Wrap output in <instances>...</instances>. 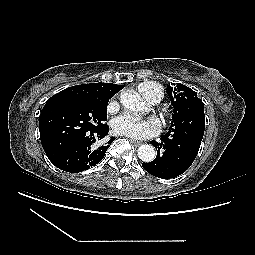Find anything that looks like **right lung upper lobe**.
<instances>
[{
	"mask_svg": "<svg viewBox=\"0 0 255 255\" xmlns=\"http://www.w3.org/2000/svg\"><path fill=\"white\" fill-rule=\"evenodd\" d=\"M124 86L116 85L113 83H92V84H82L77 86H72L62 90L61 92L55 94L51 97L61 98V97H69V98H111L117 92H119Z\"/></svg>",
	"mask_w": 255,
	"mask_h": 255,
	"instance_id": "cb5924a9",
	"label": "right lung upper lobe"
}]
</instances>
